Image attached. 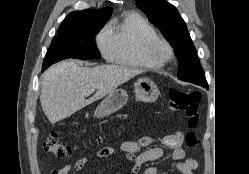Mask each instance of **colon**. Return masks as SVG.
I'll return each mask as SVG.
<instances>
[{
    "label": "colon",
    "mask_w": 249,
    "mask_h": 174,
    "mask_svg": "<svg viewBox=\"0 0 249 174\" xmlns=\"http://www.w3.org/2000/svg\"><path fill=\"white\" fill-rule=\"evenodd\" d=\"M200 99V94L195 91H183L178 88H171L168 91L170 108L174 111H184L187 115L189 130L185 139L191 148L200 145V138L196 132L200 123ZM44 148L47 153L58 158L66 157L73 152V148L63 143L56 133L47 138Z\"/></svg>",
    "instance_id": "1"
}]
</instances>
